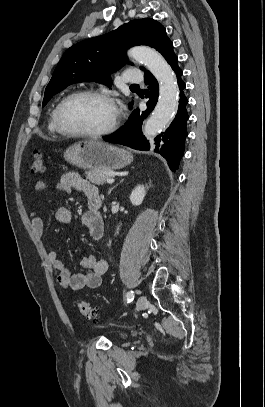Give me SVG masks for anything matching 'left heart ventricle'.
I'll use <instances>...</instances> for the list:
<instances>
[{
  "mask_svg": "<svg viewBox=\"0 0 265 407\" xmlns=\"http://www.w3.org/2000/svg\"><path fill=\"white\" fill-rule=\"evenodd\" d=\"M114 107L101 99L80 97L65 107L64 120L73 130L95 132L108 127L115 117Z\"/></svg>",
  "mask_w": 265,
  "mask_h": 407,
  "instance_id": "1",
  "label": "left heart ventricle"
}]
</instances>
